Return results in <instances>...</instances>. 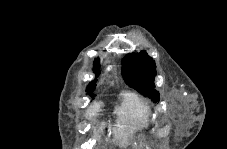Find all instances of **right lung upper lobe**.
Masks as SVG:
<instances>
[{"label": "right lung upper lobe", "mask_w": 227, "mask_h": 149, "mask_svg": "<svg viewBox=\"0 0 227 149\" xmlns=\"http://www.w3.org/2000/svg\"><path fill=\"white\" fill-rule=\"evenodd\" d=\"M99 63H100L99 58L95 59L93 62V71L95 72L96 76H98L100 74V64ZM95 86H96V81H93L88 85L87 90H88L89 96H91V97H92L93 91L95 90Z\"/></svg>", "instance_id": "1"}]
</instances>
